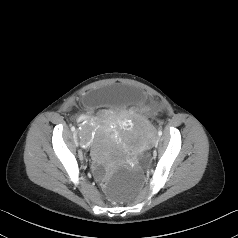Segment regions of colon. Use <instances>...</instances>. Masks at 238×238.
Here are the masks:
<instances>
[{"mask_svg":"<svg viewBox=\"0 0 238 238\" xmlns=\"http://www.w3.org/2000/svg\"><path fill=\"white\" fill-rule=\"evenodd\" d=\"M98 187L100 189H107L109 187V182L106 179L100 180L98 182Z\"/></svg>","mask_w":238,"mask_h":238,"instance_id":"5ec220e1","label":"colon"}]
</instances>
